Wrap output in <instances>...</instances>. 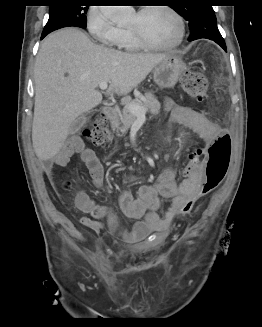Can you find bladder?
I'll return each instance as SVG.
<instances>
[{
    "label": "bladder",
    "mask_w": 262,
    "mask_h": 327,
    "mask_svg": "<svg viewBox=\"0 0 262 327\" xmlns=\"http://www.w3.org/2000/svg\"><path fill=\"white\" fill-rule=\"evenodd\" d=\"M133 250H136L139 252H149L152 250V247L149 244H140L137 246H133Z\"/></svg>",
    "instance_id": "31cf9c89"
}]
</instances>
